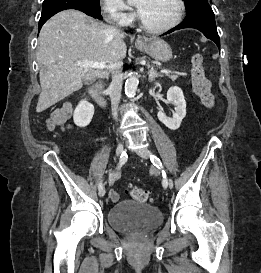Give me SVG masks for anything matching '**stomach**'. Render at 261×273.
Listing matches in <instances>:
<instances>
[{
    "instance_id": "0dacf381",
    "label": "stomach",
    "mask_w": 261,
    "mask_h": 273,
    "mask_svg": "<svg viewBox=\"0 0 261 273\" xmlns=\"http://www.w3.org/2000/svg\"><path fill=\"white\" fill-rule=\"evenodd\" d=\"M136 47L158 61L166 62L172 58V50L168 43L162 39L151 41L137 40Z\"/></svg>"
}]
</instances>
